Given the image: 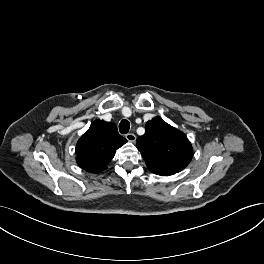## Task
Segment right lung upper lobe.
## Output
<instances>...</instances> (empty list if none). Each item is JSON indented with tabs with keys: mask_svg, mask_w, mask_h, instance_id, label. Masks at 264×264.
<instances>
[{
	"mask_svg": "<svg viewBox=\"0 0 264 264\" xmlns=\"http://www.w3.org/2000/svg\"><path fill=\"white\" fill-rule=\"evenodd\" d=\"M126 142L119 135L115 124L96 120L77 142V163L88 172H100L112 160L116 150Z\"/></svg>",
	"mask_w": 264,
	"mask_h": 264,
	"instance_id": "obj_1",
	"label": "right lung upper lobe"
}]
</instances>
